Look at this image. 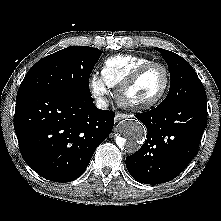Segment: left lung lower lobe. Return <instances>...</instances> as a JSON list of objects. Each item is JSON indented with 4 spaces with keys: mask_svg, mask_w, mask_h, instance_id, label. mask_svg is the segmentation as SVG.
<instances>
[{
    "mask_svg": "<svg viewBox=\"0 0 221 221\" xmlns=\"http://www.w3.org/2000/svg\"><path fill=\"white\" fill-rule=\"evenodd\" d=\"M147 128V140L126 158L131 176L145 184H160L177 177L197 155L207 126L206 99L158 107L135 115Z\"/></svg>",
    "mask_w": 221,
    "mask_h": 221,
    "instance_id": "obj_1",
    "label": "left lung lower lobe"
}]
</instances>
